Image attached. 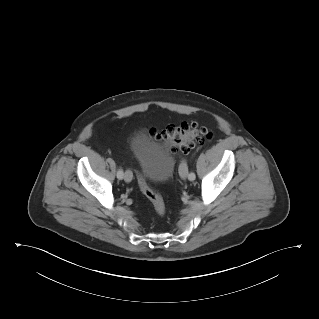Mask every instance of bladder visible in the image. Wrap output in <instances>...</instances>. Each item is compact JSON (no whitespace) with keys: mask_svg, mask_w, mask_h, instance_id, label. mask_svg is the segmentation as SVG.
<instances>
[{"mask_svg":"<svg viewBox=\"0 0 319 319\" xmlns=\"http://www.w3.org/2000/svg\"><path fill=\"white\" fill-rule=\"evenodd\" d=\"M130 147L146 180L160 184L171 177L174 160L167 146L134 134L130 137Z\"/></svg>","mask_w":319,"mask_h":319,"instance_id":"bladder-1","label":"bladder"}]
</instances>
